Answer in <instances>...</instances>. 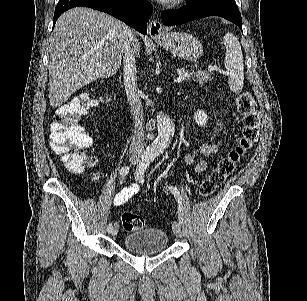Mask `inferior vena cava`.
<instances>
[{"label": "inferior vena cava", "instance_id": "obj_1", "mask_svg": "<svg viewBox=\"0 0 307 301\" xmlns=\"http://www.w3.org/2000/svg\"><path fill=\"white\" fill-rule=\"evenodd\" d=\"M128 44L123 48V72L125 90L134 118V132L132 134L129 155L139 157L143 155L145 146V126L143 124L142 100L138 94L135 52L131 48L130 40H134V34L128 28Z\"/></svg>", "mask_w": 307, "mask_h": 301}]
</instances>
